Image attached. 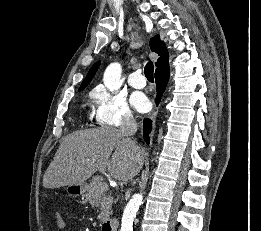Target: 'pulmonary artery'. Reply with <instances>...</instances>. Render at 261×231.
<instances>
[{
	"label": "pulmonary artery",
	"mask_w": 261,
	"mask_h": 231,
	"mask_svg": "<svg viewBox=\"0 0 261 231\" xmlns=\"http://www.w3.org/2000/svg\"><path fill=\"white\" fill-rule=\"evenodd\" d=\"M129 84L136 89H142L146 86V80L140 71H134L130 74Z\"/></svg>",
	"instance_id": "obj_1"
}]
</instances>
